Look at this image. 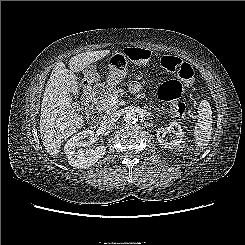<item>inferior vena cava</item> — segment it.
<instances>
[{
    "label": "inferior vena cava",
    "instance_id": "1",
    "mask_svg": "<svg viewBox=\"0 0 245 245\" xmlns=\"http://www.w3.org/2000/svg\"><path fill=\"white\" fill-rule=\"evenodd\" d=\"M118 121V115L115 112L104 115L101 120V124L104 127H111Z\"/></svg>",
    "mask_w": 245,
    "mask_h": 245
}]
</instances>
